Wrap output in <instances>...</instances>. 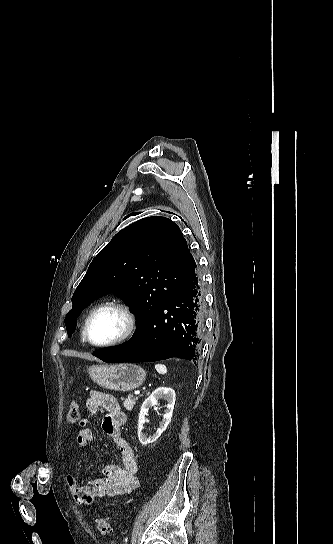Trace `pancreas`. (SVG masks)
I'll use <instances>...</instances> for the list:
<instances>
[{
	"label": "pancreas",
	"instance_id": "cf45deb5",
	"mask_svg": "<svg viewBox=\"0 0 333 544\" xmlns=\"http://www.w3.org/2000/svg\"><path fill=\"white\" fill-rule=\"evenodd\" d=\"M137 400H138V397H133L132 395H129L128 398H126L123 403L125 409L129 411L132 410Z\"/></svg>",
	"mask_w": 333,
	"mask_h": 544
}]
</instances>
